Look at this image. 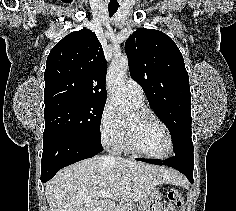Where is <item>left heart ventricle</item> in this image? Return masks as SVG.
I'll return each mask as SVG.
<instances>
[{
	"label": "left heart ventricle",
	"instance_id": "b2bd125f",
	"mask_svg": "<svg viewBox=\"0 0 236 211\" xmlns=\"http://www.w3.org/2000/svg\"><path fill=\"white\" fill-rule=\"evenodd\" d=\"M133 130L137 147L149 154L162 155L168 149V137L161 125L140 119L135 111L125 119Z\"/></svg>",
	"mask_w": 236,
	"mask_h": 211
}]
</instances>
